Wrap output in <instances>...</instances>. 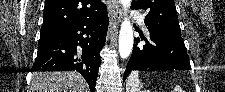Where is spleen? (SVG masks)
<instances>
[{
    "instance_id": "3e777b00",
    "label": "spleen",
    "mask_w": 225,
    "mask_h": 92,
    "mask_svg": "<svg viewBox=\"0 0 225 92\" xmlns=\"http://www.w3.org/2000/svg\"><path fill=\"white\" fill-rule=\"evenodd\" d=\"M141 87L138 71H132L126 81V92H141ZM172 92H182V89L176 86Z\"/></svg>"
}]
</instances>
